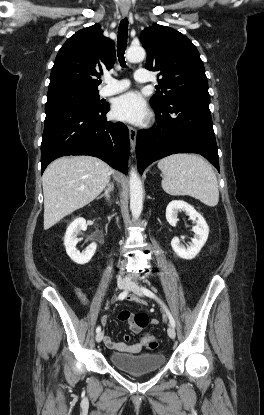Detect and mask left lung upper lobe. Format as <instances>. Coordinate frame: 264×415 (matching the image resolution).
<instances>
[{"label":"left lung upper lobe","mask_w":264,"mask_h":415,"mask_svg":"<svg viewBox=\"0 0 264 415\" xmlns=\"http://www.w3.org/2000/svg\"><path fill=\"white\" fill-rule=\"evenodd\" d=\"M141 41L147 51L145 68L157 71L158 92L151 106H163L178 97H210L204 64L195 45L182 33L162 25L144 29Z\"/></svg>","instance_id":"obj_1"}]
</instances>
